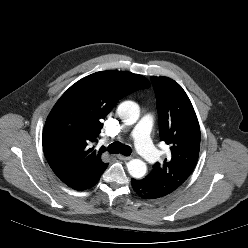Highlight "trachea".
Returning a JSON list of instances; mask_svg holds the SVG:
<instances>
[{
  "label": "trachea",
  "mask_w": 248,
  "mask_h": 248,
  "mask_svg": "<svg viewBox=\"0 0 248 248\" xmlns=\"http://www.w3.org/2000/svg\"><path fill=\"white\" fill-rule=\"evenodd\" d=\"M108 151L112 154H123L124 156H129L132 152L131 147L128 145H123L120 142H114L108 146Z\"/></svg>",
  "instance_id": "trachea-1"
}]
</instances>
